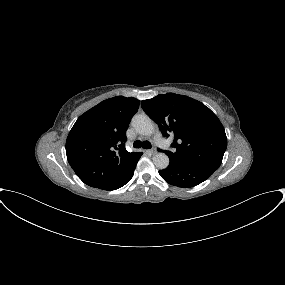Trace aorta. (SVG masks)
<instances>
[{
  "instance_id": "obj_1",
  "label": "aorta",
  "mask_w": 285,
  "mask_h": 285,
  "mask_svg": "<svg viewBox=\"0 0 285 285\" xmlns=\"http://www.w3.org/2000/svg\"><path fill=\"white\" fill-rule=\"evenodd\" d=\"M131 123L135 131L140 135L150 136L154 133L153 121L146 114L135 115ZM169 162V157L165 153H158L153 156V163L158 169L167 168Z\"/></svg>"
}]
</instances>
